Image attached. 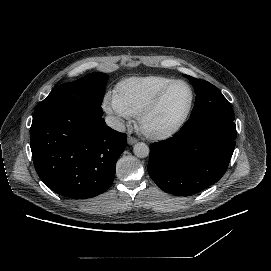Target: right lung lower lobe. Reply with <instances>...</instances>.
Segmentation results:
<instances>
[{"instance_id":"obj_1","label":"right lung lower lobe","mask_w":271,"mask_h":271,"mask_svg":"<svg viewBox=\"0 0 271 271\" xmlns=\"http://www.w3.org/2000/svg\"><path fill=\"white\" fill-rule=\"evenodd\" d=\"M124 133L94 109L52 110L33 118L30 145L40 179L59 195L87 199L113 182Z\"/></svg>"}]
</instances>
